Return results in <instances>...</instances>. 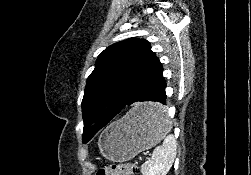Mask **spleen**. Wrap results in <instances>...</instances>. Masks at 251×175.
I'll return each instance as SVG.
<instances>
[{
    "label": "spleen",
    "mask_w": 251,
    "mask_h": 175,
    "mask_svg": "<svg viewBox=\"0 0 251 175\" xmlns=\"http://www.w3.org/2000/svg\"><path fill=\"white\" fill-rule=\"evenodd\" d=\"M154 121L160 123L162 131H164V141L162 145L155 147L152 153V159H149L147 163H142L141 173L142 175H166L170 167L173 165V161L177 153V143L174 135H167L172 125L165 115L164 109H156L151 115Z\"/></svg>",
    "instance_id": "3e777b00"
}]
</instances>
